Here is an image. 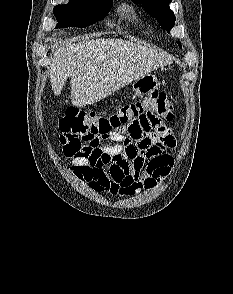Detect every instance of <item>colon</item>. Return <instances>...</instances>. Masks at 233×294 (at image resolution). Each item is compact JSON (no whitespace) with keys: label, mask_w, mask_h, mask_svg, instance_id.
Listing matches in <instances>:
<instances>
[{"label":"colon","mask_w":233,"mask_h":294,"mask_svg":"<svg viewBox=\"0 0 233 294\" xmlns=\"http://www.w3.org/2000/svg\"><path fill=\"white\" fill-rule=\"evenodd\" d=\"M134 110H159L161 117L173 118L172 103L162 92H154L142 101L125 105L111 115L68 107L59 121V143L64 156L85 159L87 156H102L100 143L127 132L122 121L135 120Z\"/></svg>","instance_id":"5ec220e1"}]
</instances>
